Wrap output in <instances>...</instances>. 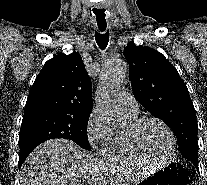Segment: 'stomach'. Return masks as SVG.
I'll list each match as a JSON object with an SVG mask.
<instances>
[{
    "mask_svg": "<svg viewBox=\"0 0 207 185\" xmlns=\"http://www.w3.org/2000/svg\"><path fill=\"white\" fill-rule=\"evenodd\" d=\"M188 171L180 163H170L145 178L141 185H188Z\"/></svg>",
    "mask_w": 207,
    "mask_h": 185,
    "instance_id": "stomach-1",
    "label": "stomach"
}]
</instances>
